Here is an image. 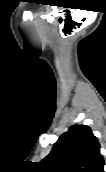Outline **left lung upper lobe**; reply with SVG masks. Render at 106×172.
Listing matches in <instances>:
<instances>
[{
    "label": "left lung upper lobe",
    "instance_id": "5c2ea615",
    "mask_svg": "<svg viewBox=\"0 0 106 172\" xmlns=\"http://www.w3.org/2000/svg\"><path fill=\"white\" fill-rule=\"evenodd\" d=\"M39 166L43 172H104V159L90 127L72 125Z\"/></svg>",
    "mask_w": 106,
    "mask_h": 172
}]
</instances>
